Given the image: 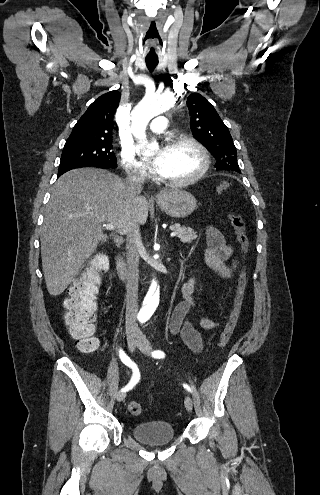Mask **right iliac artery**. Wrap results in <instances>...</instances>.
<instances>
[{"instance_id":"obj_1","label":"right iliac artery","mask_w":320,"mask_h":495,"mask_svg":"<svg viewBox=\"0 0 320 495\" xmlns=\"http://www.w3.org/2000/svg\"><path fill=\"white\" fill-rule=\"evenodd\" d=\"M120 359L126 366L130 367L133 371V377L131 381L127 386L121 389V391L126 392L137 383L139 379V370L137 368V365L130 359V357L123 350H120Z\"/></svg>"}]
</instances>
